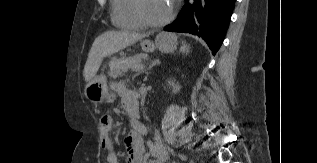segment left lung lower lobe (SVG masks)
Wrapping results in <instances>:
<instances>
[{
	"mask_svg": "<svg viewBox=\"0 0 317 163\" xmlns=\"http://www.w3.org/2000/svg\"><path fill=\"white\" fill-rule=\"evenodd\" d=\"M235 1L186 0L177 19L164 30L202 37L215 55L224 40Z\"/></svg>",
	"mask_w": 317,
	"mask_h": 163,
	"instance_id": "0a47b994",
	"label": "left lung lower lobe"
}]
</instances>
